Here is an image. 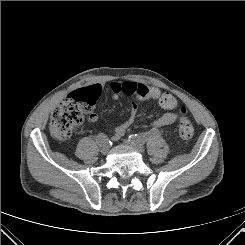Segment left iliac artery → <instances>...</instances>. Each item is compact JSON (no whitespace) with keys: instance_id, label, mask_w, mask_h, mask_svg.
Here are the masks:
<instances>
[{"instance_id":"1","label":"left iliac artery","mask_w":245,"mask_h":245,"mask_svg":"<svg viewBox=\"0 0 245 245\" xmlns=\"http://www.w3.org/2000/svg\"><path fill=\"white\" fill-rule=\"evenodd\" d=\"M158 133L159 132L157 130H153L150 133H148V135L147 134H133L129 136V139L136 143L144 144L147 140V136L148 137L155 136V135H158Z\"/></svg>"}]
</instances>
